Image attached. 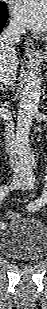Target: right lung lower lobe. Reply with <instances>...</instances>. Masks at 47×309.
<instances>
[{
    "label": "right lung lower lobe",
    "instance_id": "right-lung-lower-lobe-1",
    "mask_svg": "<svg viewBox=\"0 0 47 309\" xmlns=\"http://www.w3.org/2000/svg\"><path fill=\"white\" fill-rule=\"evenodd\" d=\"M8 19V12L6 6L0 9V31L4 27L6 21Z\"/></svg>",
    "mask_w": 47,
    "mask_h": 309
}]
</instances>
